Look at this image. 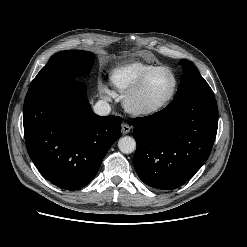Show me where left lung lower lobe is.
Returning <instances> with one entry per match:
<instances>
[{
    "instance_id": "left-lung-lower-lobe-1",
    "label": "left lung lower lobe",
    "mask_w": 247,
    "mask_h": 247,
    "mask_svg": "<svg viewBox=\"0 0 247 247\" xmlns=\"http://www.w3.org/2000/svg\"><path fill=\"white\" fill-rule=\"evenodd\" d=\"M134 167L148 186L170 190L186 183L208 159L217 133L213 92L193 91L163 110L132 121Z\"/></svg>"
}]
</instances>
